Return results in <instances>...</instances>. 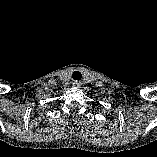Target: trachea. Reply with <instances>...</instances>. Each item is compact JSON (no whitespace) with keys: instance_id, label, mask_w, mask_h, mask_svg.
I'll list each match as a JSON object with an SVG mask.
<instances>
[{"instance_id":"obj_1","label":"trachea","mask_w":157,"mask_h":157,"mask_svg":"<svg viewBox=\"0 0 157 157\" xmlns=\"http://www.w3.org/2000/svg\"><path fill=\"white\" fill-rule=\"evenodd\" d=\"M72 77H73L74 80L79 81L82 78V74H81L80 71H74L73 74H72Z\"/></svg>"}]
</instances>
